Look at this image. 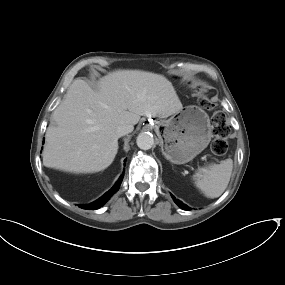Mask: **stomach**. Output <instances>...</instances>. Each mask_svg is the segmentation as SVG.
Instances as JSON below:
<instances>
[{
	"label": "stomach",
	"mask_w": 285,
	"mask_h": 285,
	"mask_svg": "<svg viewBox=\"0 0 285 285\" xmlns=\"http://www.w3.org/2000/svg\"><path fill=\"white\" fill-rule=\"evenodd\" d=\"M165 158L185 164L202 152L211 141L209 117L196 106H187L156 126Z\"/></svg>",
	"instance_id": "stomach-1"
}]
</instances>
